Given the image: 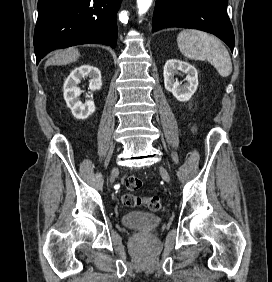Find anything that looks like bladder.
<instances>
[{
	"mask_svg": "<svg viewBox=\"0 0 272 282\" xmlns=\"http://www.w3.org/2000/svg\"><path fill=\"white\" fill-rule=\"evenodd\" d=\"M161 217L147 212L134 211L122 216V223L140 232H148L161 224Z\"/></svg>",
	"mask_w": 272,
	"mask_h": 282,
	"instance_id": "1",
	"label": "bladder"
}]
</instances>
